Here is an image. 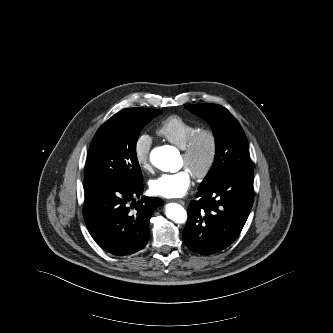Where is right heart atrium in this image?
I'll return each instance as SVG.
<instances>
[{
  "mask_svg": "<svg viewBox=\"0 0 333 333\" xmlns=\"http://www.w3.org/2000/svg\"><path fill=\"white\" fill-rule=\"evenodd\" d=\"M152 139L148 134H140L134 141L133 153L138 165L148 170L150 168V151Z\"/></svg>",
  "mask_w": 333,
  "mask_h": 333,
  "instance_id": "d8ad5b80",
  "label": "right heart atrium"
}]
</instances>
